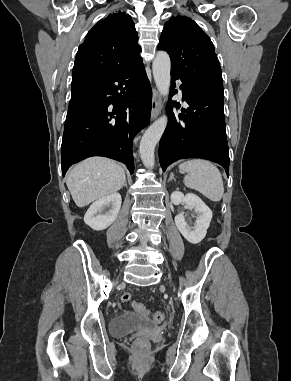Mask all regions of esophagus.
<instances>
[{
  "instance_id": "34e87169",
  "label": "esophagus",
  "mask_w": 291,
  "mask_h": 381,
  "mask_svg": "<svg viewBox=\"0 0 291 381\" xmlns=\"http://www.w3.org/2000/svg\"><path fill=\"white\" fill-rule=\"evenodd\" d=\"M162 100L159 92L154 88L152 94L151 120H154L161 112Z\"/></svg>"
}]
</instances>
